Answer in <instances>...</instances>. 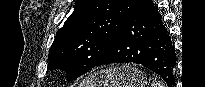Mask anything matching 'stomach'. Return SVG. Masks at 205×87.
Instances as JSON below:
<instances>
[{"label":"stomach","instance_id":"stomach-1","mask_svg":"<svg viewBox=\"0 0 205 87\" xmlns=\"http://www.w3.org/2000/svg\"><path fill=\"white\" fill-rule=\"evenodd\" d=\"M147 77L139 69L123 65L102 69L88 76L80 87H146Z\"/></svg>","mask_w":205,"mask_h":87}]
</instances>
